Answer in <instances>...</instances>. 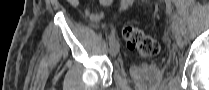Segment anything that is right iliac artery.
Wrapping results in <instances>:
<instances>
[{
    "mask_svg": "<svg viewBox=\"0 0 209 90\" xmlns=\"http://www.w3.org/2000/svg\"><path fill=\"white\" fill-rule=\"evenodd\" d=\"M130 3H131V1H124L123 4H122V6H121V9H126L127 6ZM114 40H115V29L112 28L111 33L109 35V43H110V45L114 42Z\"/></svg>",
    "mask_w": 209,
    "mask_h": 90,
    "instance_id": "1",
    "label": "right iliac artery"
}]
</instances>
